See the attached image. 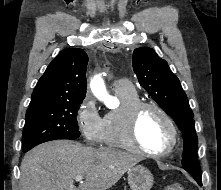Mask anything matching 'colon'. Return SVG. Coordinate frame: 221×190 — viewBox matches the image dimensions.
Listing matches in <instances>:
<instances>
[{
	"instance_id": "colon-1",
	"label": "colon",
	"mask_w": 221,
	"mask_h": 190,
	"mask_svg": "<svg viewBox=\"0 0 221 190\" xmlns=\"http://www.w3.org/2000/svg\"><path fill=\"white\" fill-rule=\"evenodd\" d=\"M164 190H184V187L180 183H172L165 186Z\"/></svg>"
}]
</instances>
